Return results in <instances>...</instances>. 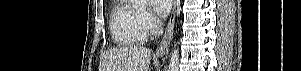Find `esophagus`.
<instances>
[{
    "label": "esophagus",
    "mask_w": 301,
    "mask_h": 71,
    "mask_svg": "<svg viewBox=\"0 0 301 71\" xmlns=\"http://www.w3.org/2000/svg\"><path fill=\"white\" fill-rule=\"evenodd\" d=\"M177 2H178V0L173 1V9H172V14H171L170 20L168 22V25L164 32L162 40L156 49V55L159 57H162L166 54L169 44H170V41H171V37L173 34V29H174V21H175V12H176Z\"/></svg>",
    "instance_id": "obj_1"
}]
</instances>
